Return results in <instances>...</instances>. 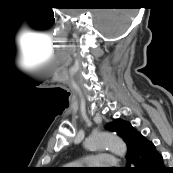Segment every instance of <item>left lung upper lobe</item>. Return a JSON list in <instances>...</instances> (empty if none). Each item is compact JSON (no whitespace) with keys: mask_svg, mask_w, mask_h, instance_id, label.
<instances>
[{"mask_svg":"<svg viewBox=\"0 0 173 173\" xmlns=\"http://www.w3.org/2000/svg\"><path fill=\"white\" fill-rule=\"evenodd\" d=\"M107 129L116 132L125 141L129 152L138 131L129 122L120 119L109 123Z\"/></svg>","mask_w":173,"mask_h":173,"instance_id":"5c2ea615","label":"left lung upper lobe"}]
</instances>
